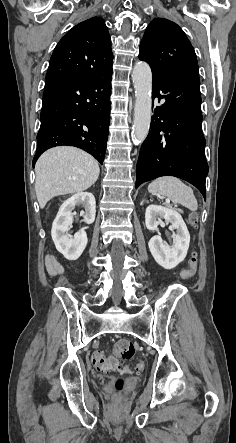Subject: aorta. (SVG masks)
Listing matches in <instances>:
<instances>
[{
  "instance_id": "obj_1",
  "label": "aorta",
  "mask_w": 236,
  "mask_h": 443,
  "mask_svg": "<svg viewBox=\"0 0 236 443\" xmlns=\"http://www.w3.org/2000/svg\"><path fill=\"white\" fill-rule=\"evenodd\" d=\"M133 80L135 106L132 139L141 144L148 135L152 113V72L146 62L139 61L134 65Z\"/></svg>"
}]
</instances>
